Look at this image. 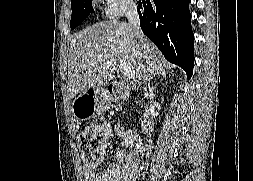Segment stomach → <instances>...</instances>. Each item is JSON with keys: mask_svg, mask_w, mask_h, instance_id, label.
Instances as JSON below:
<instances>
[{"mask_svg": "<svg viewBox=\"0 0 253 181\" xmlns=\"http://www.w3.org/2000/svg\"><path fill=\"white\" fill-rule=\"evenodd\" d=\"M109 101L108 94L101 87L90 88L74 100V116L77 120L83 121L102 115L106 112Z\"/></svg>", "mask_w": 253, "mask_h": 181, "instance_id": "0dacf381", "label": "stomach"}]
</instances>
